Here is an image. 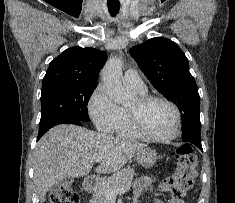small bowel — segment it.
I'll return each mask as SVG.
<instances>
[{
    "label": "small bowel",
    "mask_w": 235,
    "mask_h": 203,
    "mask_svg": "<svg viewBox=\"0 0 235 203\" xmlns=\"http://www.w3.org/2000/svg\"><path fill=\"white\" fill-rule=\"evenodd\" d=\"M155 182V178L150 176L139 177L134 184V195L136 200L142 195V193L150 188ZM137 203V202H135ZM153 203H164L162 200L155 199ZM167 203H186L182 199L171 198Z\"/></svg>",
    "instance_id": "1"
}]
</instances>
